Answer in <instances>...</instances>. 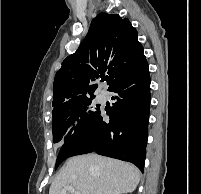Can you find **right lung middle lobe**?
<instances>
[{
	"instance_id": "obj_1",
	"label": "right lung middle lobe",
	"mask_w": 201,
	"mask_h": 194,
	"mask_svg": "<svg viewBox=\"0 0 201 194\" xmlns=\"http://www.w3.org/2000/svg\"><path fill=\"white\" fill-rule=\"evenodd\" d=\"M92 98L80 102L72 111L64 116L55 118L52 121L53 142L62 139L67 141L73 135L86 128L100 113V108L92 104ZM66 159L59 154L56 161V168Z\"/></svg>"
}]
</instances>
